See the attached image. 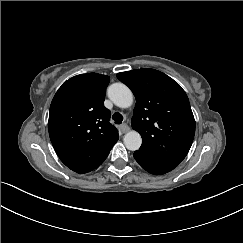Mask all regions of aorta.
I'll list each match as a JSON object with an SVG mask.
<instances>
[{"label": "aorta", "mask_w": 243, "mask_h": 243, "mask_svg": "<svg viewBox=\"0 0 243 243\" xmlns=\"http://www.w3.org/2000/svg\"><path fill=\"white\" fill-rule=\"evenodd\" d=\"M108 98L120 108H128L133 103L131 90L123 83H113L107 89ZM124 144L128 150L136 151L142 144L140 134L134 130L128 131L124 136Z\"/></svg>", "instance_id": "1"}]
</instances>
